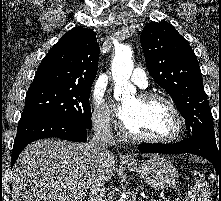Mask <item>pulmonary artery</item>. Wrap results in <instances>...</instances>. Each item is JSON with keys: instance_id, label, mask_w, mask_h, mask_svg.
Masks as SVG:
<instances>
[{"instance_id": "obj_1", "label": "pulmonary artery", "mask_w": 221, "mask_h": 201, "mask_svg": "<svg viewBox=\"0 0 221 201\" xmlns=\"http://www.w3.org/2000/svg\"><path fill=\"white\" fill-rule=\"evenodd\" d=\"M131 81L137 86H139L140 88H146L148 85L147 75L144 72V70L140 68H136L133 71L131 75Z\"/></svg>"}]
</instances>
